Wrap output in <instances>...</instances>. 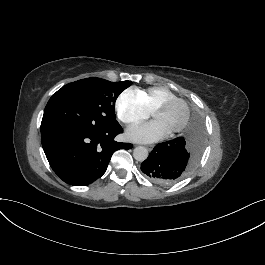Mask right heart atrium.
<instances>
[{
	"label": "right heart atrium",
	"instance_id": "right-heart-atrium-1",
	"mask_svg": "<svg viewBox=\"0 0 265 265\" xmlns=\"http://www.w3.org/2000/svg\"><path fill=\"white\" fill-rule=\"evenodd\" d=\"M116 107L120 119L126 124L142 122L150 115L143 102L131 91H127L119 97Z\"/></svg>",
	"mask_w": 265,
	"mask_h": 265
}]
</instances>
